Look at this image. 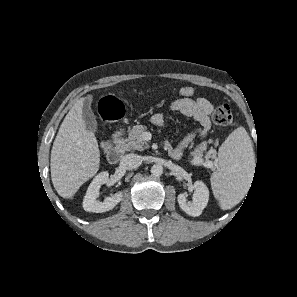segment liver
<instances>
[{"instance_id":"6515ba94","label":"liver","mask_w":297,"mask_h":297,"mask_svg":"<svg viewBox=\"0 0 297 297\" xmlns=\"http://www.w3.org/2000/svg\"><path fill=\"white\" fill-rule=\"evenodd\" d=\"M86 99L80 98L70 109L51 150L52 183L63 198H71L99 170L98 142L83 120Z\"/></svg>"}]
</instances>
